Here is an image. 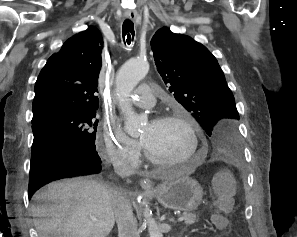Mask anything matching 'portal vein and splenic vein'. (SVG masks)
<instances>
[{
  "label": "portal vein and splenic vein",
  "mask_w": 297,
  "mask_h": 237,
  "mask_svg": "<svg viewBox=\"0 0 297 237\" xmlns=\"http://www.w3.org/2000/svg\"><path fill=\"white\" fill-rule=\"evenodd\" d=\"M92 220L95 221L96 219L92 217ZM183 220H184V217H179V218H178V221H179V222H181V221H183Z\"/></svg>",
  "instance_id": "18ae733b"
}]
</instances>
